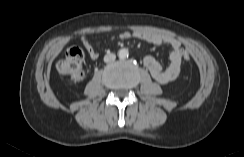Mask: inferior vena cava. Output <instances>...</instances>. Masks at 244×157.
I'll use <instances>...</instances> for the list:
<instances>
[{"mask_svg": "<svg viewBox=\"0 0 244 157\" xmlns=\"http://www.w3.org/2000/svg\"><path fill=\"white\" fill-rule=\"evenodd\" d=\"M116 59V55L113 54V53H109V54H106L104 56V62L108 63V62H112Z\"/></svg>", "mask_w": 244, "mask_h": 157, "instance_id": "obj_1", "label": "inferior vena cava"}]
</instances>
